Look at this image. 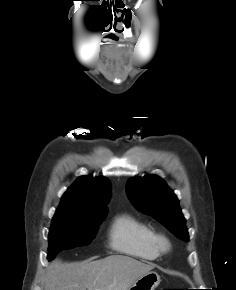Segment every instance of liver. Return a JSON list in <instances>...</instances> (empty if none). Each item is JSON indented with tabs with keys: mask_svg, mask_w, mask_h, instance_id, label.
<instances>
[{
	"mask_svg": "<svg viewBox=\"0 0 236 290\" xmlns=\"http://www.w3.org/2000/svg\"><path fill=\"white\" fill-rule=\"evenodd\" d=\"M153 268L124 255L76 263L55 260L47 268L44 290H127Z\"/></svg>",
	"mask_w": 236,
	"mask_h": 290,
	"instance_id": "1",
	"label": "liver"
}]
</instances>
